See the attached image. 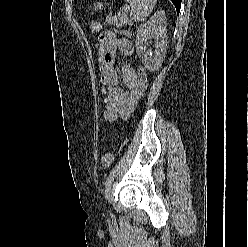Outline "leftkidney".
I'll use <instances>...</instances> for the list:
<instances>
[{
	"label": "left kidney",
	"mask_w": 248,
	"mask_h": 247,
	"mask_svg": "<svg viewBox=\"0 0 248 247\" xmlns=\"http://www.w3.org/2000/svg\"><path fill=\"white\" fill-rule=\"evenodd\" d=\"M148 39H154L155 50L153 55L147 53ZM167 29L165 11H157L148 21L141 24L136 34V52L142 59L144 66L150 70H157L166 54Z\"/></svg>",
	"instance_id": "left-kidney-1"
}]
</instances>
